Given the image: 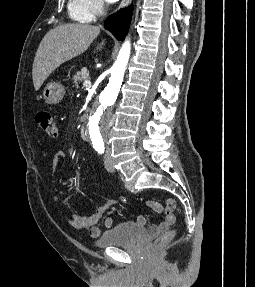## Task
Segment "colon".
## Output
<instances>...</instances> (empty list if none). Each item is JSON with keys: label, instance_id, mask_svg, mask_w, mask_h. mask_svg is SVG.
Instances as JSON below:
<instances>
[{"label": "colon", "instance_id": "1", "mask_svg": "<svg viewBox=\"0 0 255 287\" xmlns=\"http://www.w3.org/2000/svg\"><path fill=\"white\" fill-rule=\"evenodd\" d=\"M36 122L39 127L48 135L56 136L58 134L57 125L49 111L41 110L36 114ZM175 229L168 230L160 235L155 241V246L157 248L164 247L167 243H169L173 237L175 236Z\"/></svg>", "mask_w": 255, "mask_h": 287}]
</instances>
